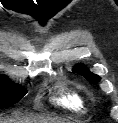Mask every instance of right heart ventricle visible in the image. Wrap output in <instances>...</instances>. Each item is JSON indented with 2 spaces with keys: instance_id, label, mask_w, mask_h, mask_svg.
Returning <instances> with one entry per match:
<instances>
[{
  "instance_id": "1",
  "label": "right heart ventricle",
  "mask_w": 118,
  "mask_h": 123,
  "mask_svg": "<svg viewBox=\"0 0 118 123\" xmlns=\"http://www.w3.org/2000/svg\"><path fill=\"white\" fill-rule=\"evenodd\" d=\"M53 102L59 107L80 114L88 110V102L82 90L64 82L57 85Z\"/></svg>"
}]
</instances>
